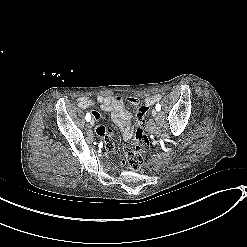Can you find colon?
<instances>
[{
    "instance_id": "obj_1",
    "label": "colon",
    "mask_w": 247,
    "mask_h": 247,
    "mask_svg": "<svg viewBox=\"0 0 247 247\" xmlns=\"http://www.w3.org/2000/svg\"><path fill=\"white\" fill-rule=\"evenodd\" d=\"M147 111L148 107L143 104L137 108L136 119L138 125L135 128V139L126 142L124 146L126 165L131 169H138L142 165L141 152L147 151L150 147L148 135L143 127Z\"/></svg>"
}]
</instances>
